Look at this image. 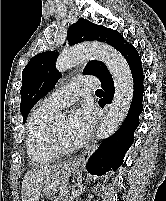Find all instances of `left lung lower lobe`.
I'll return each instance as SVG.
<instances>
[{
    "instance_id": "left-lung-lower-lobe-1",
    "label": "left lung lower lobe",
    "mask_w": 166,
    "mask_h": 201,
    "mask_svg": "<svg viewBox=\"0 0 166 201\" xmlns=\"http://www.w3.org/2000/svg\"><path fill=\"white\" fill-rule=\"evenodd\" d=\"M122 55L127 60L134 82V92L127 117L121 127L111 137L105 139L86 163L88 172L101 176L107 172L117 170L123 163L124 154L133 144L134 132L139 126V115L143 110L144 75L141 58L135 47L129 44ZM105 91L103 107L111 103L114 95V83L112 76L107 74L100 79Z\"/></svg>"
}]
</instances>
